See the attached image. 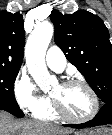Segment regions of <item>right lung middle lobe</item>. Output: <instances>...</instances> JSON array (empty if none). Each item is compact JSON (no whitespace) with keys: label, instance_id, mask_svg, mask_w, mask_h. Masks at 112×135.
Returning <instances> with one entry per match:
<instances>
[{"label":"right lung middle lobe","instance_id":"dd1d6c3e","mask_svg":"<svg viewBox=\"0 0 112 135\" xmlns=\"http://www.w3.org/2000/svg\"><path fill=\"white\" fill-rule=\"evenodd\" d=\"M20 66H0V104L18 106L14 96V82Z\"/></svg>","mask_w":112,"mask_h":135}]
</instances>
